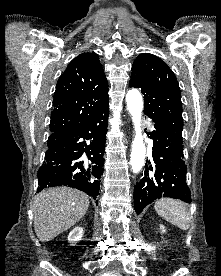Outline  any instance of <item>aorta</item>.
I'll return each mask as SVG.
<instances>
[{
  "instance_id": "aorta-1",
  "label": "aorta",
  "mask_w": 221,
  "mask_h": 276,
  "mask_svg": "<svg viewBox=\"0 0 221 276\" xmlns=\"http://www.w3.org/2000/svg\"><path fill=\"white\" fill-rule=\"evenodd\" d=\"M126 102L129 113L132 116V121L135 129V137L132 142L130 164L133 173H138L144 165L146 154V148L141 129V117L143 110V100L141 93L136 89L129 90L126 94Z\"/></svg>"
}]
</instances>
